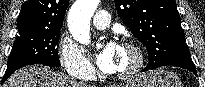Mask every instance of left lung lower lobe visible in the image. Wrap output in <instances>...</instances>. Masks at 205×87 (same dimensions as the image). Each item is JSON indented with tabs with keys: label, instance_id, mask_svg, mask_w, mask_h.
Returning a JSON list of instances; mask_svg holds the SVG:
<instances>
[{
	"label": "left lung lower lobe",
	"instance_id": "1",
	"mask_svg": "<svg viewBox=\"0 0 205 87\" xmlns=\"http://www.w3.org/2000/svg\"><path fill=\"white\" fill-rule=\"evenodd\" d=\"M163 66H177L184 69H187L191 72H193L196 75V68L194 66V63L192 62V59L190 57L189 52L179 53L169 59L167 62L163 64ZM151 70L150 68L146 67L143 69V71Z\"/></svg>",
	"mask_w": 205,
	"mask_h": 87
}]
</instances>
